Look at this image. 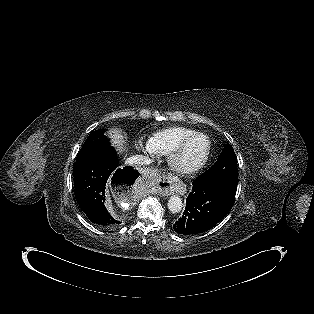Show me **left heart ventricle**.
I'll return each mask as SVG.
<instances>
[{"instance_id":"1","label":"left heart ventricle","mask_w":314,"mask_h":314,"mask_svg":"<svg viewBox=\"0 0 314 314\" xmlns=\"http://www.w3.org/2000/svg\"><path fill=\"white\" fill-rule=\"evenodd\" d=\"M206 150V142L203 138H197L190 143L186 151L185 159L187 162L199 160Z\"/></svg>"}]
</instances>
